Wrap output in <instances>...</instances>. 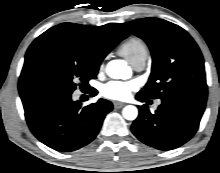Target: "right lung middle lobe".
<instances>
[{
  "label": "right lung middle lobe",
  "instance_id": "obj_1",
  "mask_svg": "<svg viewBox=\"0 0 220 173\" xmlns=\"http://www.w3.org/2000/svg\"><path fill=\"white\" fill-rule=\"evenodd\" d=\"M98 70L99 66L86 63L71 53L57 51L40 69V89L72 93L77 82L86 85L96 78Z\"/></svg>",
  "mask_w": 220,
  "mask_h": 173
}]
</instances>
